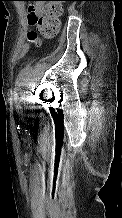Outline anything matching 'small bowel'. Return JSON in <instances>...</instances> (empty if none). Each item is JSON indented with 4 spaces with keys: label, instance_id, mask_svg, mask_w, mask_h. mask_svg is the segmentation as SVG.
Instances as JSON below:
<instances>
[{
    "label": "small bowel",
    "instance_id": "small-bowel-1",
    "mask_svg": "<svg viewBox=\"0 0 122 218\" xmlns=\"http://www.w3.org/2000/svg\"><path fill=\"white\" fill-rule=\"evenodd\" d=\"M32 10L36 12L37 14H41L43 12V5L40 3H37L33 6Z\"/></svg>",
    "mask_w": 122,
    "mask_h": 218
}]
</instances>
